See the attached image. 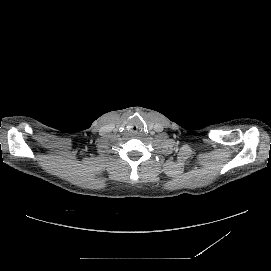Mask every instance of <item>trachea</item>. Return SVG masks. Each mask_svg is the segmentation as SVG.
Instances as JSON below:
<instances>
[{"mask_svg":"<svg viewBox=\"0 0 271 271\" xmlns=\"http://www.w3.org/2000/svg\"><path fill=\"white\" fill-rule=\"evenodd\" d=\"M141 127V122L138 119H133L129 124H128V129L131 132H136L139 128Z\"/></svg>","mask_w":271,"mask_h":271,"instance_id":"1","label":"trachea"}]
</instances>
